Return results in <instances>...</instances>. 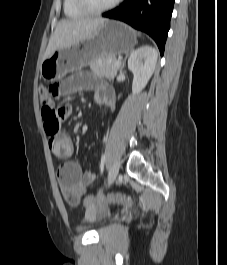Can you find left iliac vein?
<instances>
[{
	"mask_svg": "<svg viewBox=\"0 0 227 265\" xmlns=\"http://www.w3.org/2000/svg\"><path fill=\"white\" fill-rule=\"evenodd\" d=\"M119 167H120V163L118 161H115L108 173V186H110L115 179L117 178V175L119 173Z\"/></svg>",
	"mask_w": 227,
	"mask_h": 265,
	"instance_id": "obj_1",
	"label": "left iliac vein"
}]
</instances>
